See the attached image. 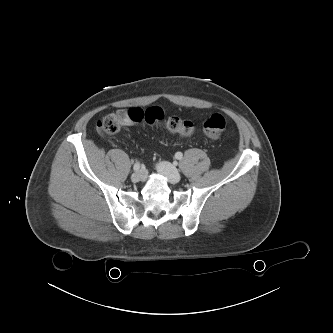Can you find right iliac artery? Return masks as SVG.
<instances>
[{
	"mask_svg": "<svg viewBox=\"0 0 333 333\" xmlns=\"http://www.w3.org/2000/svg\"><path fill=\"white\" fill-rule=\"evenodd\" d=\"M140 167H141L140 163H139V162H136V163L134 164V166H133V170H134V171H138V170L140 169Z\"/></svg>",
	"mask_w": 333,
	"mask_h": 333,
	"instance_id": "obj_1",
	"label": "right iliac artery"
}]
</instances>
